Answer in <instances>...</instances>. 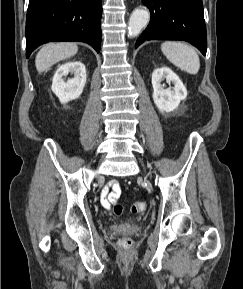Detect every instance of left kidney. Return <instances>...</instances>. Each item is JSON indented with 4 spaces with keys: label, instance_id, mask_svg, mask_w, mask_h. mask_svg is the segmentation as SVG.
<instances>
[{
    "label": "left kidney",
    "instance_id": "1",
    "mask_svg": "<svg viewBox=\"0 0 243 289\" xmlns=\"http://www.w3.org/2000/svg\"><path fill=\"white\" fill-rule=\"evenodd\" d=\"M166 79L167 83H173L174 87L165 88L161 82ZM153 101L161 112L174 111L180 101L187 97L186 87L179 77L168 67L154 70L152 74Z\"/></svg>",
    "mask_w": 243,
    "mask_h": 289
}]
</instances>
